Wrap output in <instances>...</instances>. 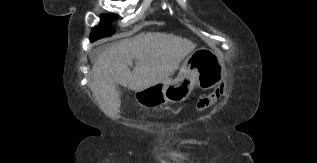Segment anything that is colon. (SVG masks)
<instances>
[{"instance_id": "obj_1", "label": "colon", "mask_w": 317, "mask_h": 163, "mask_svg": "<svg viewBox=\"0 0 317 163\" xmlns=\"http://www.w3.org/2000/svg\"><path fill=\"white\" fill-rule=\"evenodd\" d=\"M221 92H222L221 90H216L210 94L201 96L197 102V107L199 109L208 108L219 99Z\"/></svg>"}]
</instances>
